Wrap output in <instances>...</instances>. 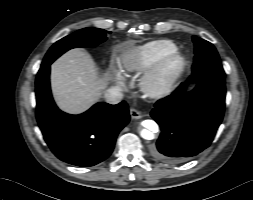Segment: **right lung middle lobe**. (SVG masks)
<instances>
[{"instance_id":"obj_1","label":"right lung middle lobe","mask_w":253,"mask_h":200,"mask_svg":"<svg viewBox=\"0 0 253 200\" xmlns=\"http://www.w3.org/2000/svg\"><path fill=\"white\" fill-rule=\"evenodd\" d=\"M106 31L84 28L57 41L47 52L42 64L52 63L60 55L75 47H94L106 40Z\"/></svg>"}]
</instances>
